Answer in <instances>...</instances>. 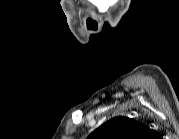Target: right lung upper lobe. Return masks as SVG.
<instances>
[{
    "instance_id": "cb5924a9",
    "label": "right lung upper lobe",
    "mask_w": 179,
    "mask_h": 139,
    "mask_svg": "<svg viewBox=\"0 0 179 139\" xmlns=\"http://www.w3.org/2000/svg\"><path fill=\"white\" fill-rule=\"evenodd\" d=\"M153 131L134 119L115 117L91 133L88 139H149Z\"/></svg>"
}]
</instances>
